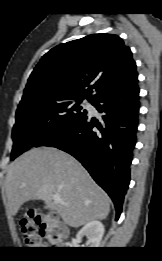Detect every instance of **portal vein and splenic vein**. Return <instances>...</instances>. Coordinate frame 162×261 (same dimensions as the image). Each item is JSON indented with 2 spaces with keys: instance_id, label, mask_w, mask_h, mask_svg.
I'll return each mask as SVG.
<instances>
[{
  "instance_id": "obj_1",
  "label": "portal vein and splenic vein",
  "mask_w": 162,
  "mask_h": 261,
  "mask_svg": "<svg viewBox=\"0 0 162 261\" xmlns=\"http://www.w3.org/2000/svg\"><path fill=\"white\" fill-rule=\"evenodd\" d=\"M53 199H54L55 201H61V197H60L59 194H54V195H53Z\"/></svg>"
}]
</instances>
